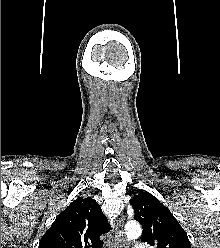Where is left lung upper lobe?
<instances>
[{"label": "left lung upper lobe", "mask_w": 220, "mask_h": 248, "mask_svg": "<svg viewBox=\"0 0 220 248\" xmlns=\"http://www.w3.org/2000/svg\"><path fill=\"white\" fill-rule=\"evenodd\" d=\"M135 216L143 227L141 240L157 248H191L187 233L169 209L149 192L130 200Z\"/></svg>", "instance_id": "obj_1"}]
</instances>
